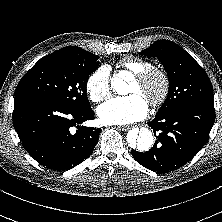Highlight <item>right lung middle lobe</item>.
I'll list each match as a JSON object with an SVG mask.
<instances>
[{
	"label": "right lung middle lobe",
	"instance_id": "dd1d6c3e",
	"mask_svg": "<svg viewBox=\"0 0 222 222\" xmlns=\"http://www.w3.org/2000/svg\"><path fill=\"white\" fill-rule=\"evenodd\" d=\"M99 56L82 48H62L41 58L20 80L15 97L39 96L65 106L88 109L86 86Z\"/></svg>",
	"mask_w": 222,
	"mask_h": 222
}]
</instances>
